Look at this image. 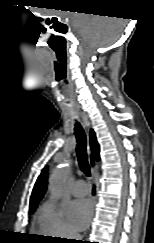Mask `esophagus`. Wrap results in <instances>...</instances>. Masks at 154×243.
<instances>
[{
    "instance_id": "34e87169",
    "label": "esophagus",
    "mask_w": 154,
    "mask_h": 243,
    "mask_svg": "<svg viewBox=\"0 0 154 243\" xmlns=\"http://www.w3.org/2000/svg\"><path fill=\"white\" fill-rule=\"evenodd\" d=\"M88 159H89V164H90L92 174L94 175L97 172L98 166L94 158V155L89 147H88ZM93 214H94V206H93Z\"/></svg>"
}]
</instances>
